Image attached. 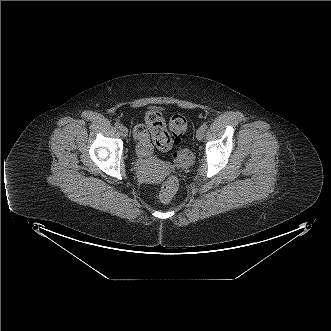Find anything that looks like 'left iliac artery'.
Listing matches in <instances>:
<instances>
[{
    "instance_id": "obj_1",
    "label": "left iliac artery",
    "mask_w": 331,
    "mask_h": 331,
    "mask_svg": "<svg viewBox=\"0 0 331 331\" xmlns=\"http://www.w3.org/2000/svg\"><path fill=\"white\" fill-rule=\"evenodd\" d=\"M201 128L205 131L208 128V125L206 123H204Z\"/></svg>"
}]
</instances>
